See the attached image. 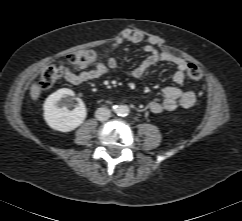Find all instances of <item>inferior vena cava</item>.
<instances>
[{
    "mask_svg": "<svg viewBox=\"0 0 242 221\" xmlns=\"http://www.w3.org/2000/svg\"><path fill=\"white\" fill-rule=\"evenodd\" d=\"M110 116H111V112L106 107L98 108L95 112V117L97 118V120L102 122L108 120Z\"/></svg>",
    "mask_w": 242,
    "mask_h": 221,
    "instance_id": "inferior-vena-cava-1",
    "label": "inferior vena cava"
}]
</instances>
